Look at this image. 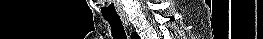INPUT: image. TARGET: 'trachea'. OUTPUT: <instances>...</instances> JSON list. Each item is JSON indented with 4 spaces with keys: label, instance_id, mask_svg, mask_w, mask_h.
I'll return each mask as SVG.
<instances>
[{
    "label": "trachea",
    "instance_id": "1",
    "mask_svg": "<svg viewBox=\"0 0 263 39\" xmlns=\"http://www.w3.org/2000/svg\"><path fill=\"white\" fill-rule=\"evenodd\" d=\"M110 24L113 39H127L122 21L120 18H105Z\"/></svg>",
    "mask_w": 263,
    "mask_h": 39
}]
</instances>
